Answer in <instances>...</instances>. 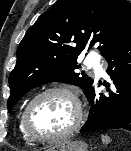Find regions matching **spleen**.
I'll return each instance as SVG.
<instances>
[{"label": "spleen", "instance_id": "1", "mask_svg": "<svg viewBox=\"0 0 131 151\" xmlns=\"http://www.w3.org/2000/svg\"><path fill=\"white\" fill-rule=\"evenodd\" d=\"M101 139H102V142H103L104 144H106V145L111 142L110 137L107 136V135H102V136H101Z\"/></svg>", "mask_w": 131, "mask_h": 151}]
</instances>
